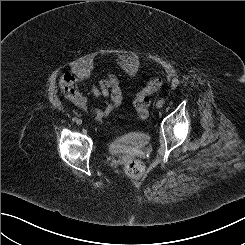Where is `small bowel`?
I'll list each match as a JSON object with an SVG mask.
<instances>
[{
    "label": "small bowel",
    "mask_w": 245,
    "mask_h": 245,
    "mask_svg": "<svg viewBox=\"0 0 245 245\" xmlns=\"http://www.w3.org/2000/svg\"><path fill=\"white\" fill-rule=\"evenodd\" d=\"M83 76L65 73L61 76L59 86L62 94L82 111L93 113L95 123H101L105 118L115 112L123 102V90L119 85L118 77L111 72L106 78L100 79L98 85L89 91L81 90L79 84L84 80ZM90 98L108 99L101 107H92Z\"/></svg>",
    "instance_id": "1"
}]
</instances>
